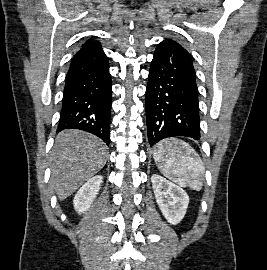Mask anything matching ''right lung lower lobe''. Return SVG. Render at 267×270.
<instances>
[{
    "instance_id": "obj_1",
    "label": "right lung lower lobe",
    "mask_w": 267,
    "mask_h": 270,
    "mask_svg": "<svg viewBox=\"0 0 267 270\" xmlns=\"http://www.w3.org/2000/svg\"><path fill=\"white\" fill-rule=\"evenodd\" d=\"M111 93L109 63L100 44L82 47L68 70L57 132L80 129L109 145Z\"/></svg>"
}]
</instances>
